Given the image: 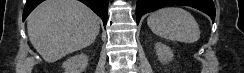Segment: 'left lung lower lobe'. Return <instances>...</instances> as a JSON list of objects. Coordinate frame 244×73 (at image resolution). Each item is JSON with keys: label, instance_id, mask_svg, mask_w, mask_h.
<instances>
[{"label": "left lung lower lobe", "instance_id": "obj_1", "mask_svg": "<svg viewBox=\"0 0 244 73\" xmlns=\"http://www.w3.org/2000/svg\"><path fill=\"white\" fill-rule=\"evenodd\" d=\"M169 5L190 6L209 15L212 21L215 19V7L212 0H137V24H139L140 18L144 14Z\"/></svg>", "mask_w": 244, "mask_h": 73}]
</instances>
